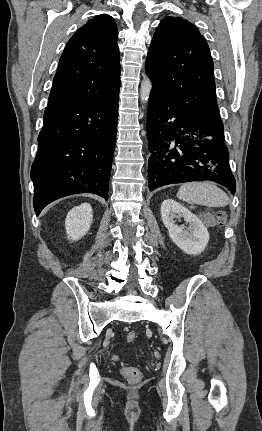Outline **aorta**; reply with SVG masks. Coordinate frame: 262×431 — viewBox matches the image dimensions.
Masks as SVG:
<instances>
[{
	"instance_id": "1",
	"label": "aorta",
	"mask_w": 262,
	"mask_h": 431,
	"mask_svg": "<svg viewBox=\"0 0 262 431\" xmlns=\"http://www.w3.org/2000/svg\"><path fill=\"white\" fill-rule=\"evenodd\" d=\"M151 90H152V82L148 77H146L141 83V88H140V98L143 104L148 103Z\"/></svg>"
}]
</instances>
